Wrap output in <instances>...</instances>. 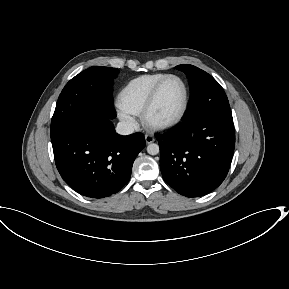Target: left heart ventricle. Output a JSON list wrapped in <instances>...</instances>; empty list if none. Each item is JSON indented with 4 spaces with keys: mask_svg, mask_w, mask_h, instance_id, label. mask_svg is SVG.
Listing matches in <instances>:
<instances>
[{
    "mask_svg": "<svg viewBox=\"0 0 289 289\" xmlns=\"http://www.w3.org/2000/svg\"><path fill=\"white\" fill-rule=\"evenodd\" d=\"M184 87L177 79H170L164 83L151 111V119L155 122H165L175 118L184 103Z\"/></svg>",
    "mask_w": 289,
    "mask_h": 289,
    "instance_id": "obj_1",
    "label": "left heart ventricle"
}]
</instances>
